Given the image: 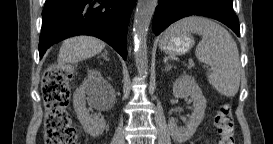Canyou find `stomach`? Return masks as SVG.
<instances>
[{
  "mask_svg": "<svg viewBox=\"0 0 273 144\" xmlns=\"http://www.w3.org/2000/svg\"><path fill=\"white\" fill-rule=\"evenodd\" d=\"M194 45L191 35L180 32L173 35L164 34L160 41V49L167 54L181 55L188 52Z\"/></svg>",
  "mask_w": 273,
  "mask_h": 144,
  "instance_id": "1",
  "label": "stomach"
}]
</instances>
